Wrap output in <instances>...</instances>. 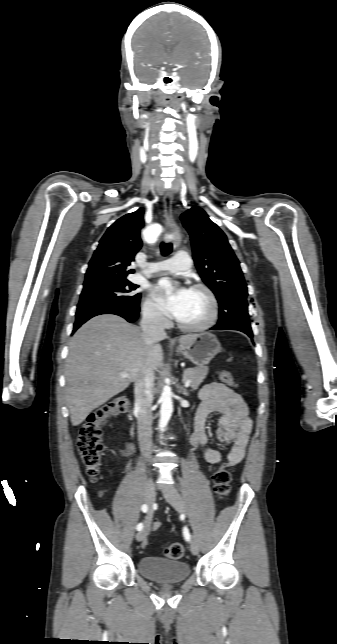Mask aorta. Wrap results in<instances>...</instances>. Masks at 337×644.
Segmentation results:
<instances>
[{
  "label": "aorta",
  "instance_id": "aorta-1",
  "mask_svg": "<svg viewBox=\"0 0 337 644\" xmlns=\"http://www.w3.org/2000/svg\"><path fill=\"white\" fill-rule=\"evenodd\" d=\"M160 232H161L160 229H151L146 234V241L150 244L155 243L157 241V238ZM160 402H161V408H160L159 429L161 432H163L173 412L172 392L169 386H164L160 396Z\"/></svg>",
  "mask_w": 337,
  "mask_h": 644
}]
</instances>
